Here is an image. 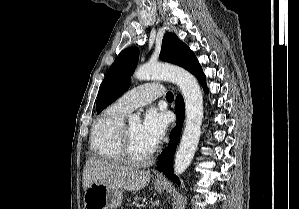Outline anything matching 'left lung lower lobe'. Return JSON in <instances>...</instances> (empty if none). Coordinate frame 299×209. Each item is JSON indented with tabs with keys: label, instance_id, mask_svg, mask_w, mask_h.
Returning a JSON list of instances; mask_svg holds the SVG:
<instances>
[{
	"label": "left lung lower lobe",
	"instance_id": "left-lung-lower-lobe-1",
	"mask_svg": "<svg viewBox=\"0 0 299 209\" xmlns=\"http://www.w3.org/2000/svg\"><path fill=\"white\" fill-rule=\"evenodd\" d=\"M193 75L197 77L203 86L204 91H207L206 87V78L202 71L201 66L199 65L193 72ZM175 110L177 114V124L175 129L171 132V140L168 148L162 152L161 157L159 159V164L157 165V169L163 172L169 179L173 180L176 183H179L178 178L173 173V155L176 150L179 136L182 130L183 121H184V102L181 95H178L176 98Z\"/></svg>",
	"mask_w": 299,
	"mask_h": 209
}]
</instances>
